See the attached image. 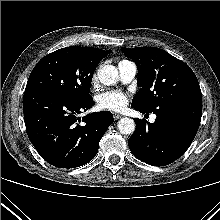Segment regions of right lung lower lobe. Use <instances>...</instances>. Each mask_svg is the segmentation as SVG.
<instances>
[{"instance_id":"1","label":"right lung lower lobe","mask_w":220,"mask_h":220,"mask_svg":"<svg viewBox=\"0 0 220 220\" xmlns=\"http://www.w3.org/2000/svg\"><path fill=\"white\" fill-rule=\"evenodd\" d=\"M92 105V96L72 100L44 90L24 92L26 131L46 162L58 168H75L96 156L102 136L113 123V115L101 111L82 119L76 117Z\"/></svg>"}]
</instances>
